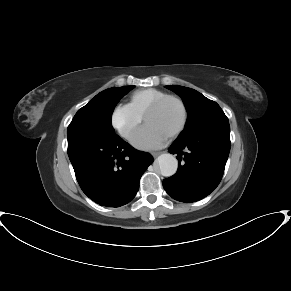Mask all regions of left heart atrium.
<instances>
[{
  "label": "left heart atrium",
  "mask_w": 291,
  "mask_h": 291,
  "mask_svg": "<svg viewBox=\"0 0 291 291\" xmlns=\"http://www.w3.org/2000/svg\"><path fill=\"white\" fill-rule=\"evenodd\" d=\"M168 139V135L155 129L153 126L145 124L132 138V143L140 149H152L163 145Z\"/></svg>",
  "instance_id": "left-heart-atrium-1"
}]
</instances>
